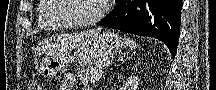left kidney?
Listing matches in <instances>:
<instances>
[{
	"label": "left kidney",
	"mask_w": 216,
	"mask_h": 90,
	"mask_svg": "<svg viewBox=\"0 0 216 90\" xmlns=\"http://www.w3.org/2000/svg\"><path fill=\"white\" fill-rule=\"evenodd\" d=\"M139 82L140 80L138 76H132V78H128V80H126L123 90H137Z\"/></svg>",
	"instance_id": "left-kidney-1"
}]
</instances>
